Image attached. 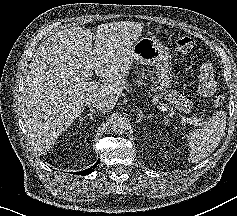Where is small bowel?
I'll return each instance as SVG.
<instances>
[{
	"label": "small bowel",
	"instance_id": "obj_1",
	"mask_svg": "<svg viewBox=\"0 0 237 216\" xmlns=\"http://www.w3.org/2000/svg\"><path fill=\"white\" fill-rule=\"evenodd\" d=\"M201 83L199 85V93L202 96H211L214 92V84L212 81V70L209 64H204L200 70Z\"/></svg>",
	"mask_w": 237,
	"mask_h": 216
}]
</instances>
